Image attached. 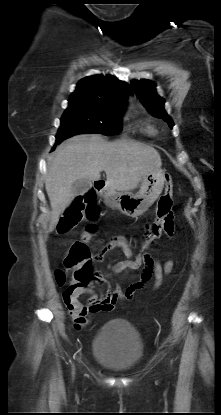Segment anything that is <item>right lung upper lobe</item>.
I'll list each match as a JSON object with an SVG mask.
<instances>
[{"instance_id": "cb5924a9", "label": "right lung upper lobe", "mask_w": 221, "mask_h": 415, "mask_svg": "<svg viewBox=\"0 0 221 415\" xmlns=\"http://www.w3.org/2000/svg\"><path fill=\"white\" fill-rule=\"evenodd\" d=\"M130 92L129 85L114 76L94 75L79 81L69 101L125 106L124 100Z\"/></svg>"}]
</instances>
